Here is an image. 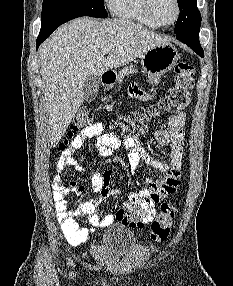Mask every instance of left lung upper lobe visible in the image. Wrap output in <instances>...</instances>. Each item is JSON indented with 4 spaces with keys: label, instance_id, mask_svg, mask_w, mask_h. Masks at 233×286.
<instances>
[{
    "label": "left lung upper lobe",
    "instance_id": "left-lung-upper-lobe-1",
    "mask_svg": "<svg viewBox=\"0 0 233 286\" xmlns=\"http://www.w3.org/2000/svg\"><path fill=\"white\" fill-rule=\"evenodd\" d=\"M177 2L180 16L176 22L174 33L179 35L200 29L201 15L197 8V0H177Z\"/></svg>",
    "mask_w": 233,
    "mask_h": 286
}]
</instances>
